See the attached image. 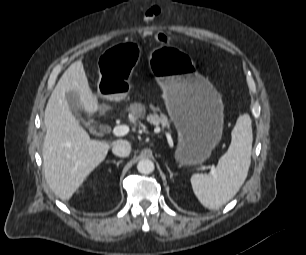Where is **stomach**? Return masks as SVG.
Masks as SVG:
<instances>
[{
	"instance_id": "0dacf381",
	"label": "stomach",
	"mask_w": 306,
	"mask_h": 255,
	"mask_svg": "<svg viewBox=\"0 0 306 255\" xmlns=\"http://www.w3.org/2000/svg\"><path fill=\"white\" fill-rule=\"evenodd\" d=\"M134 43H120L106 49L98 60V94L109 101L123 100L130 91L126 80L139 57ZM146 67L156 73L166 108L178 131L176 159L184 165L207 160L223 131V105L211 83L196 73L189 55L162 45L149 47Z\"/></svg>"
}]
</instances>
